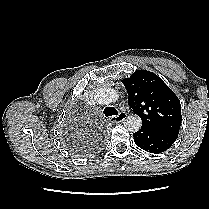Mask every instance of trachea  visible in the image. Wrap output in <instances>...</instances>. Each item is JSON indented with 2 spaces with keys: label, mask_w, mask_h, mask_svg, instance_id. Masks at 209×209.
<instances>
[{
  "label": "trachea",
  "mask_w": 209,
  "mask_h": 209,
  "mask_svg": "<svg viewBox=\"0 0 209 209\" xmlns=\"http://www.w3.org/2000/svg\"><path fill=\"white\" fill-rule=\"evenodd\" d=\"M106 117L118 115V111L114 107H106L103 111Z\"/></svg>",
  "instance_id": "3493384b"
}]
</instances>
